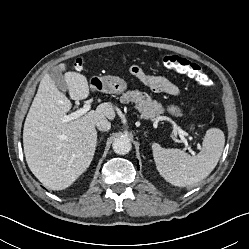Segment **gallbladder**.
<instances>
[{"label": "gallbladder", "instance_id": "bac80fb5", "mask_svg": "<svg viewBox=\"0 0 249 249\" xmlns=\"http://www.w3.org/2000/svg\"><path fill=\"white\" fill-rule=\"evenodd\" d=\"M48 74L50 75V77L54 81V83L59 91L66 92L68 90L67 84H66L65 79H64V75H63L61 70L54 67L48 72Z\"/></svg>", "mask_w": 249, "mask_h": 249}]
</instances>
